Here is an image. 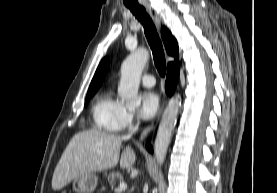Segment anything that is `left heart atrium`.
<instances>
[{
    "mask_svg": "<svg viewBox=\"0 0 277 193\" xmlns=\"http://www.w3.org/2000/svg\"><path fill=\"white\" fill-rule=\"evenodd\" d=\"M159 97L152 91L143 92L140 95V114L145 119L153 118L159 110Z\"/></svg>",
    "mask_w": 277,
    "mask_h": 193,
    "instance_id": "1",
    "label": "left heart atrium"
}]
</instances>
